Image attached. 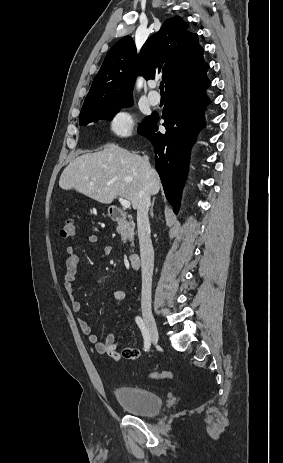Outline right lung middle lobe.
I'll list each match as a JSON object with an SVG mask.
<instances>
[{
	"mask_svg": "<svg viewBox=\"0 0 283 463\" xmlns=\"http://www.w3.org/2000/svg\"><path fill=\"white\" fill-rule=\"evenodd\" d=\"M132 102V97H128L106 99L92 104L83 105L79 115V123L80 125L85 126L90 122H97L98 120L111 121L115 113H117L120 108L130 106ZM143 123L140 124L139 128L143 125Z\"/></svg>",
	"mask_w": 283,
	"mask_h": 463,
	"instance_id": "dd1d6c3e",
	"label": "right lung middle lobe"
}]
</instances>
